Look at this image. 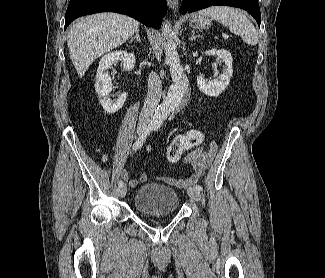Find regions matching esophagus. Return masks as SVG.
I'll return each instance as SVG.
<instances>
[{
    "label": "esophagus",
    "mask_w": 325,
    "mask_h": 278,
    "mask_svg": "<svg viewBox=\"0 0 325 278\" xmlns=\"http://www.w3.org/2000/svg\"><path fill=\"white\" fill-rule=\"evenodd\" d=\"M167 3L171 9L176 10L178 7L179 0H167Z\"/></svg>",
    "instance_id": "obj_1"
}]
</instances>
